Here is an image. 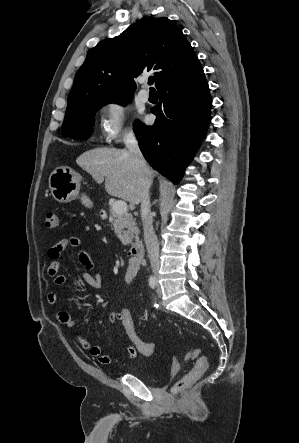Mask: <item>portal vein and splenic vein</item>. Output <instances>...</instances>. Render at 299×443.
<instances>
[{"mask_svg": "<svg viewBox=\"0 0 299 443\" xmlns=\"http://www.w3.org/2000/svg\"><path fill=\"white\" fill-rule=\"evenodd\" d=\"M113 211L117 214H125L127 212V204L124 201H116L112 205Z\"/></svg>", "mask_w": 299, "mask_h": 443, "instance_id": "portal-vein-and-splenic-vein-1", "label": "portal vein and splenic vein"}]
</instances>
